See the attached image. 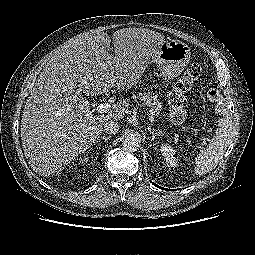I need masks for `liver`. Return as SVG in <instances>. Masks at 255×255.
Returning <instances> with one entry per match:
<instances>
[{
	"mask_svg": "<svg viewBox=\"0 0 255 255\" xmlns=\"http://www.w3.org/2000/svg\"><path fill=\"white\" fill-rule=\"evenodd\" d=\"M165 41L146 28L113 33L115 56L107 33L89 31L58 49L45 65L25 104L21 140L25 157L40 176L60 172L100 136L108 120H121L128 101L108 114L94 115L83 96L116 87L131 89Z\"/></svg>",
	"mask_w": 255,
	"mask_h": 255,
	"instance_id": "obj_1",
	"label": "liver"
}]
</instances>
